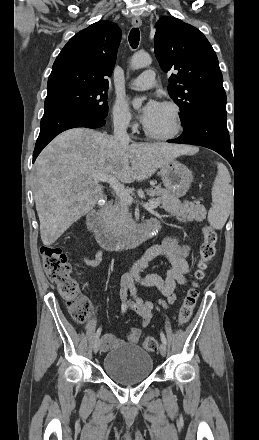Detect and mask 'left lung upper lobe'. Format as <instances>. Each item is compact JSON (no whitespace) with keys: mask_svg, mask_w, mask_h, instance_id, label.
Here are the masks:
<instances>
[{"mask_svg":"<svg viewBox=\"0 0 259 440\" xmlns=\"http://www.w3.org/2000/svg\"><path fill=\"white\" fill-rule=\"evenodd\" d=\"M155 55L172 72L170 97L181 109L183 126L204 110L226 112V93L217 56L204 34L180 19L162 17L156 24Z\"/></svg>","mask_w":259,"mask_h":440,"instance_id":"5c2ea615","label":"left lung upper lobe"}]
</instances>
